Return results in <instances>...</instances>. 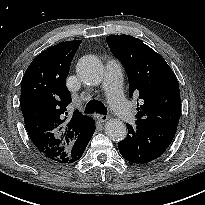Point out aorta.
<instances>
[{
	"label": "aorta",
	"mask_w": 205,
	"mask_h": 205,
	"mask_svg": "<svg viewBox=\"0 0 205 205\" xmlns=\"http://www.w3.org/2000/svg\"><path fill=\"white\" fill-rule=\"evenodd\" d=\"M81 81L87 85L97 86L103 77V67L99 59L93 55L82 57L76 67ZM105 133L113 141H121L127 135L125 124L119 119H110L105 124Z\"/></svg>",
	"instance_id": "obj_1"
}]
</instances>
